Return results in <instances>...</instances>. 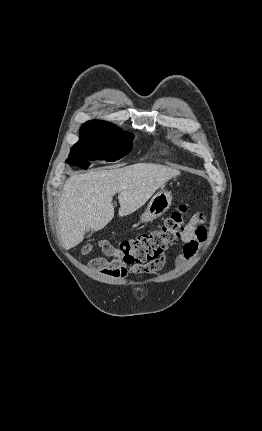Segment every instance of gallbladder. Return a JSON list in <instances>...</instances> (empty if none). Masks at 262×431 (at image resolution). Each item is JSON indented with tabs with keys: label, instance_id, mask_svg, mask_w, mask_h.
Here are the masks:
<instances>
[{
	"label": "gallbladder",
	"instance_id": "gallbladder-1",
	"mask_svg": "<svg viewBox=\"0 0 262 431\" xmlns=\"http://www.w3.org/2000/svg\"><path fill=\"white\" fill-rule=\"evenodd\" d=\"M86 232H89V229H86Z\"/></svg>",
	"mask_w": 262,
	"mask_h": 431
}]
</instances>
